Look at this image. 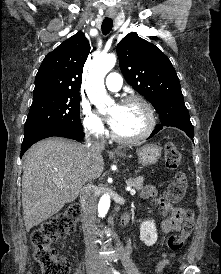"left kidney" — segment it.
I'll list each match as a JSON object with an SVG mask.
<instances>
[{
  "label": "left kidney",
  "mask_w": 221,
  "mask_h": 274,
  "mask_svg": "<svg viewBox=\"0 0 221 274\" xmlns=\"http://www.w3.org/2000/svg\"><path fill=\"white\" fill-rule=\"evenodd\" d=\"M158 238L157 229L154 220H145L140 226V240L146 246H152Z\"/></svg>",
  "instance_id": "5707ae66"
}]
</instances>
